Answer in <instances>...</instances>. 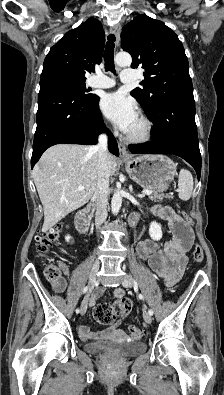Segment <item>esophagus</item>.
<instances>
[{
  "instance_id": "34e87169",
  "label": "esophagus",
  "mask_w": 224,
  "mask_h": 395,
  "mask_svg": "<svg viewBox=\"0 0 224 395\" xmlns=\"http://www.w3.org/2000/svg\"><path fill=\"white\" fill-rule=\"evenodd\" d=\"M110 32L112 34H114V36L116 38L115 43H116V46H118L119 45V39H120V33H121V25L120 24H116V25L112 26L110 28ZM118 148H119V156H120V158L121 159H128L129 156H128L127 152H126V148H125L124 144L122 142H120V141L118 142Z\"/></svg>"
}]
</instances>
